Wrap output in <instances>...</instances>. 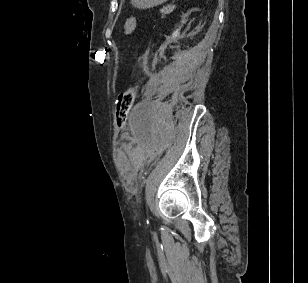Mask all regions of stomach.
Returning a JSON list of instances; mask_svg holds the SVG:
<instances>
[{"label":"stomach","mask_w":308,"mask_h":283,"mask_svg":"<svg viewBox=\"0 0 308 283\" xmlns=\"http://www.w3.org/2000/svg\"><path fill=\"white\" fill-rule=\"evenodd\" d=\"M167 0H131V4L139 9H147L160 4H163Z\"/></svg>","instance_id":"obj_1"}]
</instances>
